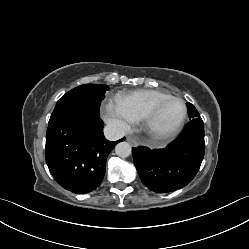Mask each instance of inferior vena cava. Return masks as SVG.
<instances>
[{
	"label": "inferior vena cava",
	"instance_id": "1",
	"mask_svg": "<svg viewBox=\"0 0 249 249\" xmlns=\"http://www.w3.org/2000/svg\"><path fill=\"white\" fill-rule=\"evenodd\" d=\"M104 135L110 141H116L124 137L125 131L114 124H108L104 127Z\"/></svg>",
	"mask_w": 249,
	"mask_h": 249
}]
</instances>
